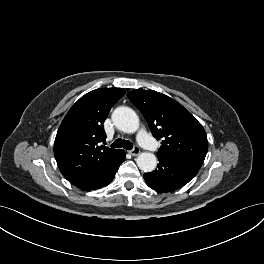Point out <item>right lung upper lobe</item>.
<instances>
[{
    "label": "right lung upper lobe",
    "instance_id": "cb5924a9",
    "mask_svg": "<svg viewBox=\"0 0 264 264\" xmlns=\"http://www.w3.org/2000/svg\"><path fill=\"white\" fill-rule=\"evenodd\" d=\"M125 94L120 88H100L82 96L63 119L54 142L62 175L72 181L99 167L120 149L108 148L103 123Z\"/></svg>",
    "mask_w": 264,
    "mask_h": 264
}]
</instances>
